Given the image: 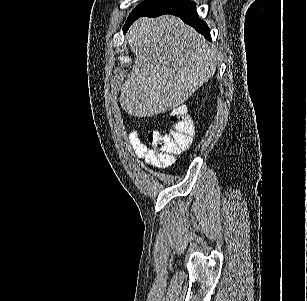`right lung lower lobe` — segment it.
<instances>
[{"label":"right lung lower lobe","mask_w":307,"mask_h":301,"mask_svg":"<svg viewBox=\"0 0 307 301\" xmlns=\"http://www.w3.org/2000/svg\"><path fill=\"white\" fill-rule=\"evenodd\" d=\"M163 14H172L180 17L183 22L192 26L197 32L204 35L206 39L211 40L210 29L203 20H200L196 12V4L191 0H161L141 16L158 17Z\"/></svg>","instance_id":"obj_1"}]
</instances>
